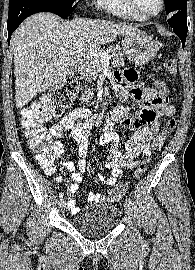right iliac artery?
<instances>
[{"label": "right iliac artery", "mask_w": 195, "mask_h": 270, "mask_svg": "<svg viewBox=\"0 0 195 270\" xmlns=\"http://www.w3.org/2000/svg\"><path fill=\"white\" fill-rule=\"evenodd\" d=\"M63 197H64V194H63V193H60V194H59L60 200L63 199Z\"/></svg>", "instance_id": "1"}]
</instances>
